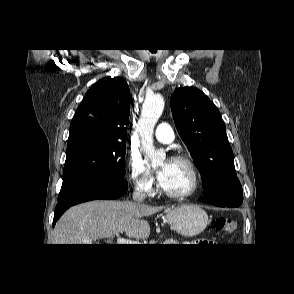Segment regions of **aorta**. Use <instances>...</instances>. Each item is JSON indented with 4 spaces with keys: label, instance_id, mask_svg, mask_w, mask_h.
<instances>
[{
    "label": "aorta",
    "instance_id": "762f6f07",
    "mask_svg": "<svg viewBox=\"0 0 294 294\" xmlns=\"http://www.w3.org/2000/svg\"><path fill=\"white\" fill-rule=\"evenodd\" d=\"M164 109V99L161 95L146 98L143 103L141 117L138 121L137 131L141 138L142 150L152 167L163 164L166 154L162 150H156L153 145V133L156 122Z\"/></svg>",
    "mask_w": 294,
    "mask_h": 294
}]
</instances>
